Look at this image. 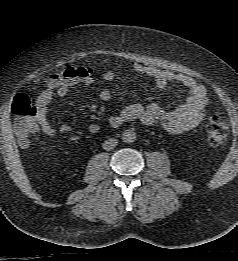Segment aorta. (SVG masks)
I'll return each instance as SVG.
<instances>
[{"instance_id":"1","label":"aorta","mask_w":238,"mask_h":261,"mask_svg":"<svg viewBox=\"0 0 238 261\" xmlns=\"http://www.w3.org/2000/svg\"><path fill=\"white\" fill-rule=\"evenodd\" d=\"M135 139L136 133L132 130L127 129L122 133V140L124 143H132Z\"/></svg>"}]
</instances>
